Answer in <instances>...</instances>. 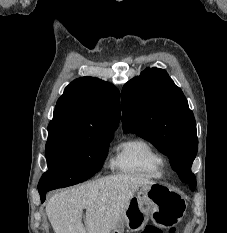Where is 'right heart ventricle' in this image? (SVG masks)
<instances>
[{"mask_svg": "<svg viewBox=\"0 0 227 233\" xmlns=\"http://www.w3.org/2000/svg\"><path fill=\"white\" fill-rule=\"evenodd\" d=\"M112 166L123 173L160 179L165 172L166 160L147 140L136 137L117 146Z\"/></svg>", "mask_w": 227, "mask_h": 233, "instance_id": "obj_1", "label": "right heart ventricle"}]
</instances>
